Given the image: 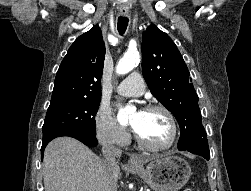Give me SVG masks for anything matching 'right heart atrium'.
<instances>
[{"instance_id": "d8ad5b80", "label": "right heart atrium", "mask_w": 251, "mask_h": 191, "mask_svg": "<svg viewBox=\"0 0 251 191\" xmlns=\"http://www.w3.org/2000/svg\"><path fill=\"white\" fill-rule=\"evenodd\" d=\"M93 127L96 139L102 145L126 146L130 141L125 128L104 108H99L94 115Z\"/></svg>"}]
</instances>
